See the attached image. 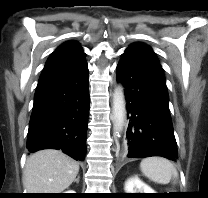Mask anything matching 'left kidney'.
<instances>
[{
    "instance_id": "5707ae66",
    "label": "left kidney",
    "mask_w": 208,
    "mask_h": 198,
    "mask_svg": "<svg viewBox=\"0 0 208 198\" xmlns=\"http://www.w3.org/2000/svg\"><path fill=\"white\" fill-rule=\"evenodd\" d=\"M126 193H156L149 185L141 181L138 177L129 178L125 182Z\"/></svg>"
}]
</instances>
